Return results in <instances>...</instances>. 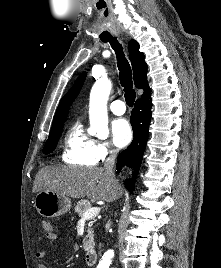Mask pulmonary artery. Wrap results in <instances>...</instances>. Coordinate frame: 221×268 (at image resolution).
Listing matches in <instances>:
<instances>
[{"mask_svg":"<svg viewBox=\"0 0 221 268\" xmlns=\"http://www.w3.org/2000/svg\"><path fill=\"white\" fill-rule=\"evenodd\" d=\"M110 110L115 115H123L126 111L125 103L122 100H115L110 104Z\"/></svg>","mask_w":221,"mask_h":268,"instance_id":"1","label":"pulmonary artery"}]
</instances>
